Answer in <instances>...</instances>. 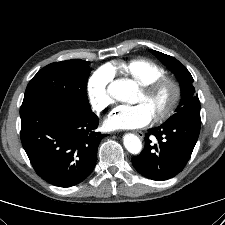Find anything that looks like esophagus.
<instances>
[{
	"mask_svg": "<svg viewBox=\"0 0 225 225\" xmlns=\"http://www.w3.org/2000/svg\"><path fill=\"white\" fill-rule=\"evenodd\" d=\"M135 134L140 138L143 139L144 138V133L141 131H136Z\"/></svg>",
	"mask_w": 225,
	"mask_h": 225,
	"instance_id": "1",
	"label": "esophagus"
}]
</instances>
